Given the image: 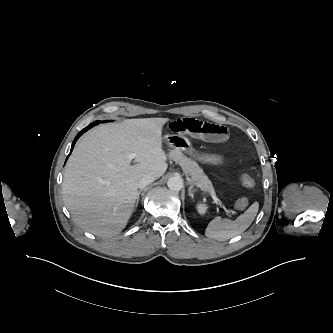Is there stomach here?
<instances>
[{
    "label": "stomach",
    "mask_w": 333,
    "mask_h": 333,
    "mask_svg": "<svg viewBox=\"0 0 333 333\" xmlns=\"http://www.w3.org/2000/svg\"><path fill=\"white\" fill-rule=\"evenodd\" d=\"M166 143L168 146L173 148L174 150H178L180 152H184L191 156H196L195 150L193 149L190 140L187 137L182 135H166L165 136ZM201 160L208 162L213 165L223 164L225 159L222 155L218 154H210L200 157Z\"/></svg>",
    "instance_id": "0dacf381"
}]
</instances>
